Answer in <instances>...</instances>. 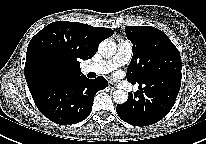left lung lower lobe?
Returning <instances> with one entry per match:
<instances>
[{
    "label": "left lung lower lobe",
    "mask_w": 206,
    "mask_h": 144,
    "mask_svg": "<svg viewBox=\"0 0 206 144\" xmlns=\"http://www.w3.org/2000/svg\"><path fill=\"white\" fill-rule=\"evenodd\" d=\"M179 90L175 86L152 89L139 84V91L129 93L128 101L117 106V113L128 124L152 125L169 113Z\"/></svg>",
    "instance_id": "obj_1"
}]
</instances>
